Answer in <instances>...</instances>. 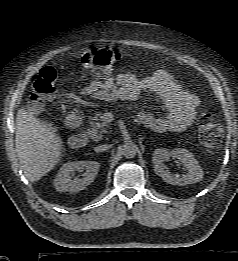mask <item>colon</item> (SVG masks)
Wrapping results in <instances>:
<instances>
[{
    "instance_id": "1",
    "label": "colon",
    "mask_w": 238,
    "mask_h": 261,
    "mask_svg": "<svg viewBox=\"0 0 238 261\" xmlns=\"http://www.w3.org/2000/svg\"><path fill=\"white\" fill-rule=\"evenodd\" d=\"M122 59L121 53L112 47H94L82 55V63L95 76L106 77L113 67ZM56 71L49 66L43 67L32 83L29 99L34 111L42 109L44 102L52 98L56 92ZM198 129L202 144L208 149L219 147L224 130L218 118L209 112H204L198 120Z\"/></svg>"
}]
</instances>
